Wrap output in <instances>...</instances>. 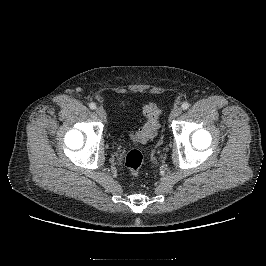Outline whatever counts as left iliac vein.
<instances>
[{
	"label": "left iliac vein",
	"mask_w": 266,
	"mask_h": 266,
	"mask_svg": "<svg viewBox=\"0 0 266 266\" xmlns=\"http://www.w3.org/2000/svg\"><path fill=\"white\" fill-rule=\"evenodd\" d=\"M181 113H182L181 107L174 108L170 113L169 120L177 118Z\"/></svg>",
	"instance_id": "4c4485c4"
}]
</instances>
